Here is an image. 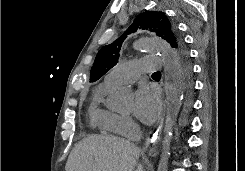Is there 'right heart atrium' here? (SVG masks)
<instances>
[{
  "label": "right heart atrium",
  "mask_w": 245,
  "mask_h": 171,
  "mask_svg": "<svg viewBox=\"0 0 245 171\" xmlns=\"http://www.w3.org/2000/svg\"><path fill=\"white\" fill-rule=\"evenodd\" d=\"M113 130L118 134L130 136L136 131V124L127 115H117L113 121Z\"/></svg>",
  "instance_id": "1"
}]
</instances>
